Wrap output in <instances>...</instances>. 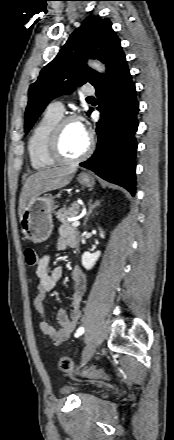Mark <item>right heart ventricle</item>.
Wrapping results in <instances>:
<instances>
[{
    "mask_svg": "<svg viewBox=\"0 0 174 440\" xmlns=\"http://www.w3.org/2000/svg\"><path fill=\"white\" fill-rule=\"evenodd\" d=\"M60 119L61 116L46 111L33 127L27 144L30 164L33 169L40 171L57 165L49 156L48 143L51 131Z\"/></svg>",
    "mask_w": 174,
    "mask_h": 440,
    "instance_id": "1",
    "label": "right heart ventricle"
}]
</instances>
